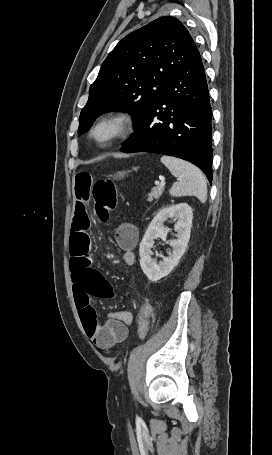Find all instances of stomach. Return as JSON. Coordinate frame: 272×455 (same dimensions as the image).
<instances>
[{
  "label": "stomach",
  "mask_w": 272,
  "mask_h": 455,
  "mask_svg": "<svg viewBox=\"0 0 272 455\" xmlns=\"http://www.w3.org/2000/svg\"><path fill=\"white\" fill-rule=\"evenodd\" d=\"M130 172V171H128ZM127 173L126 172H118L115 176L114 179H121L123 178Z\"/></svg>",
  "instance_id": "0dacf381"
}]
</instances>
